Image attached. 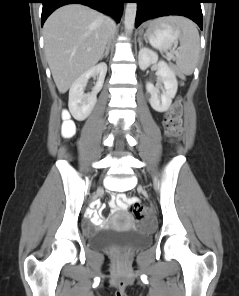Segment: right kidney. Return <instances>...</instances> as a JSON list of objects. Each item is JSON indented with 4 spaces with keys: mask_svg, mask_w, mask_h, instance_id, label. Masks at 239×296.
Wrapping results in <instances>:
<instances>
[{
    "mask_svg": "<svg viewBox=\"0 0 239 296\" xmlns=\"http://www.w3.org/2000/svg\"><path fill=\"white\" fill-rule=\"evenodd\" d=\"M107 73L106 63H99L80 75L69 90L68 107L72 116L82 121L86 119L97 102V94L102 89ZM90 77H97V82L90 94L84 93V88Z\"/></svg>",
    "mask_w": 239,
    "mask_h": 296,
    "instance_id": "ca27d5eb",
    "label": "right kidney"
}]
</instances>
